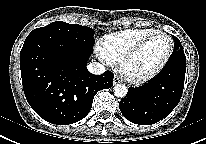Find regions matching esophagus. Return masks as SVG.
<instances>
[{
  "label": "esophagus",
  "mask_w": 206,
  "mask_h": 144,
  "mask_svg": "<svg viewBox=\"0 0 206 144\" xmlns=\"http://www.w3.org/2000/svg\"><path fill=\"white\" fill-rule=\"evenodd\" d=\"M122 82V79L118 76H115L114 79H113V83L114 84H118V83H121Z\"/></svg>",
  "instance_id": "obj_1"
}]
</instances>
